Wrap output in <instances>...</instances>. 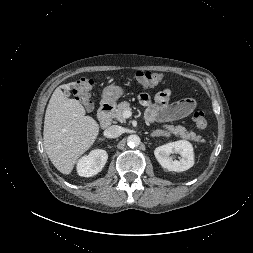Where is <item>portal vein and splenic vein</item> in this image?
Segmentation results:
<instances>
[{
  "mask_svg": "<svg viewBox=\"0 0 253 253\" xmlns=\"http://www.w3.org/2000/svg\"><path fill=\"white\" fill-rule=\"evenodd\" d=\"M131 116H132V112L130 110L124 111V113H123V117L124 118H129Z\"/></svg>",
  "mask_w": 253,
  "mask_h": 253,
  "instance_id": "portal-vein-and-splenic-vein-1",
  "label": "portal vein and splenic vein"
}]
</instances>
